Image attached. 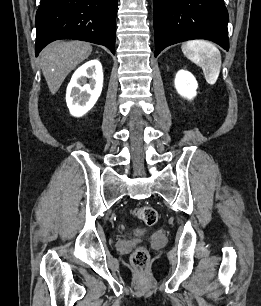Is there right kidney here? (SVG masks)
Here are the masks:
<instances>
[{
  "instance_id": "ca27d5eb",
  "label": "right kidney",
  "mask_w": 261,
  "mask_h": 306,
  "mask_svg": "<svg viewBox=\"0 0 261 306\" xmlns=\"http://www.w3.org/2000/svg\"><path fill=\"white\" fill-rule=\"evenodd\" d=\"M102 86L103 71L98 60H90L80 66L74 72L66 91V102L71 115L81 117L86 114L97 102Z\"/></svg>"
}]
</instances>
